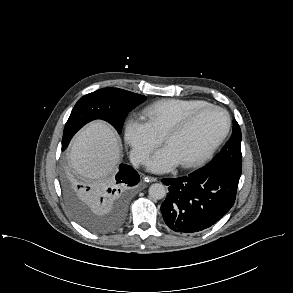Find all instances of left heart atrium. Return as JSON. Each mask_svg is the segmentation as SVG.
Masks as SVG:
<instances>
[{"label":"left heart atrium","mask_w":293,"mask_h":293,"mask_svg":"<svg viewBox=\"0 0 293 293\" xmlns=\"http://www.w3.org/2000/svg\"><path fill=\"white\" fill-rule=\"evenodd\" d=\"M179 164L169 146L156 152L148 161L147 167L154 172H166Z\"/></svg>","instance_id":"obj_1"}]
</instances>
